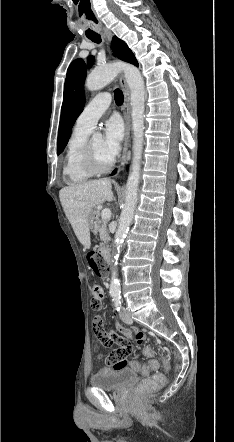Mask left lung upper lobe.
<instances>
[{
    "label": "left lung upper lobe",
    "instance_id": "5c2ea615",
    "mask_svg": "<svg viewBox=\"0 0 234 442\" xmlns=\"http://www.w3.org/2000/svg\"><path fill=\"white\" fill-rule=\"evenodd\" d=\"M112 49L114 55L119 59L138 66L137 60L132 51L128 48L125 42L116 36H114L112 40ZM93 63V56L87 58V65L83 59L79 58L74 60L67 70L58 132V154H60L66 147L71 135L72 127L83 110L85 103L83 85L87 75V67L90 68Z\"/></svg>",
    "mask_w": 234,
    "mask_h": 442
}]
</instances>
